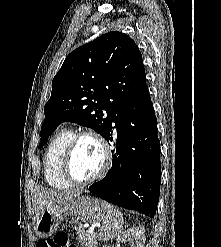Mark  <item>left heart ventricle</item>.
<instances>
[{
    "mask_svg": "<svg viewBox=\"0 0 221 247\" xmlns=\"http://www.w3.org/2000/svg\"><path fill=\"white\" fill-rule=\"evenodd\" d=\"M103 155L96 141L91 138L82 139L72 157V172L78 179H86L95 175L101 168Z\"/></svg>",
    "mask_w": 221,
    "mask_h": 247,
    "instance_id": "1",
    "label": "left heart ventricle"
}]
</instances>
